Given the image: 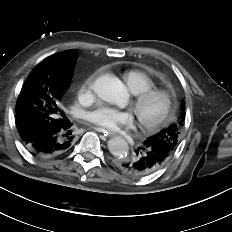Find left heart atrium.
Instances as JSON below:
<instances>
[{"mask_svg": "<svg viewBox=\"0 0 232 232\" xmlns=\"http://www.w3.org/2000/svg\"><path fill=\"white\" fill-rule=\"evenodd\" d=\"M86 117L91 124L109 131L121 130L123 127H130L133 123L130 112L110 107H99L87 113Z\"/></svg>", "mask_w": 232, "mask_h": 232, "instance_id": "left-heart-atrium-1", "label": "left heart atrium"}]
</instances>
